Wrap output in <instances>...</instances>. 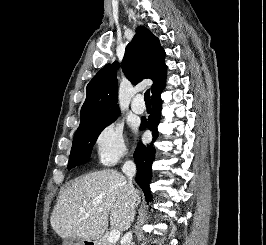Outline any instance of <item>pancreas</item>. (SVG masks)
Here are the masks:
<instances>
[{
	"mask_svg": "<svg viewBox=\"0 0 266 245\" xmlns=\"http://www.w3.org/2000/svg\"><path fill=\"white\" fill-rule=\"evenodd\" d=\"M100 245H113V243H107V241H101Z\"/></svg>",
	"mask_w": 266,
	"mask_h": 245,
	"instance_id": "cf45deb5",
	"label": "pancreas"
}]
</instances>
